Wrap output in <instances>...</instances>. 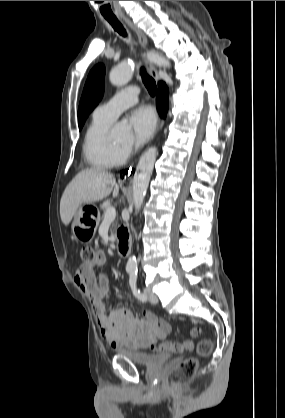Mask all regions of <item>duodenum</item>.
<instances>
[{
  "instance_id": "410a0bca",
  "label": "duodenum",
  "mask_w": 285,
  "mask_h": 418,
  "mask_svg": "<svg viewBox=\"0 0 285 418\" xmlns=\"http://www.w3.org/2000/svg\"><path fill=\"white\" fill-rule=\"evenodd\" d=\"M118 238H119L118 253L120 256L126 257L130 253V248H131L130 240L127 237L121 235L120 233H118Z\"/></svg>"
}]
</instances>
